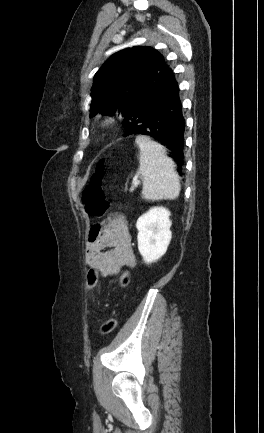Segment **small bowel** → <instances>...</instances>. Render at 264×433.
I'll return each mask as SVG.
<instances>
[{"mask_svg":"<svg viewBox=\"0 0 264 433\" xmlns=\"http://www.w3.org/2000/svg\"><path fill=\"white\" fill-rule=\"evenodd\" d=\"M86 264L103 276L117 274L124 266L132 267L136 257L125 218L112 213L91 227L85 249Z\"/></svg>","mask_w":264,"mask_h":433,"instance_id":"small-bowel-1","label":"small bowel"}]
</instances>
